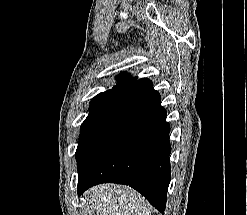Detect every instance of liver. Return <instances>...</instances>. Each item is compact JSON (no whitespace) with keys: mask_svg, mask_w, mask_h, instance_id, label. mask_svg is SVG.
I'll return each instance as SVG.
<instances>
[{"mask_svg":"<svg viewBox=\"0 0 247 215\" xmlns=\"http://www.w3.org/2000/svg\"><path fill=\"white\" fill-rule=\"evenodd\" d=\"M89 204L96 215H150L148 203L135 191L104 184L89 191Z\"/></svg>","mask_w":247,"mask_h":215,"instance_id":"1","label":"liver"}]
</instances>
